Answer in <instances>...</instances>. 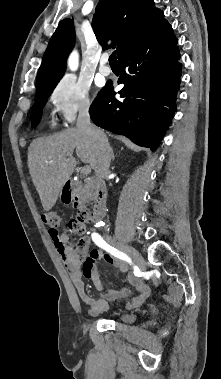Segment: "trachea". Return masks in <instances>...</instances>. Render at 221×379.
Wrapping results in <instances>:
<instances>
[{"label":"trachea","mask_w":221,"mask_h":379,"mask_svg":"<svg viewBox=\"0 0 221 379\" xmlns=\"http://www.w3.org/2000/svg\"><path fill=\"white\" fill-rule=\"evenodd\" d=\"M110 65H117L116 52H113L109 57Z\"/></svg>","instance_id":"1"}]
</instances>
